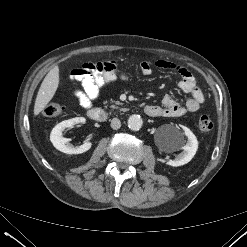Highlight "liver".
I'll return each instance as SVG.
<instances>
[{
    "instance_id": "obj_1",
    "label": "liver",
    "mask_w": 247,
    "mask_h": 247,
    "mask_svg": "<svg viewBox=\"0 0 247 247\" xmlns=\"http://www.w3.org/2000/svg\"><path fill=\"white\" fill-rule=\"evenodd\" d=\"M58 85H59V68L58 66H54L45 76L39 88L34 105L35 116H37L41 111H43L46 105L54 97Z\"/></svg>"
}]
</instances>
